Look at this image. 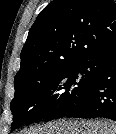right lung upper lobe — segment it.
<instances>
[{
	"instance_id": "right-lung-upper-lobe-1",
	"label": "right lung upper lobe",
	"mask_w": 116,
	"mask_h": 134,
	"mask_svg": "<svg viewBox=\"0 0 116 134\" xmlns=\"http://www.w3.org/2000/svg\"><path fill=\"white\" fill-rule=\"evenodd\" d=\"M116 48V2L53 0L37 16L21 51L15 94L76 63Z\"/></svg>"
}]
</instances>
